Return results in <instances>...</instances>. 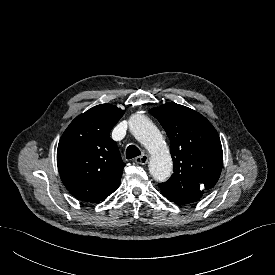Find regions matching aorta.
Segmentation results:
<instances>
[{"label": "aorta", "instance_id": "aorta-1", "mask_svg": "<svg viewBox=\"0 0 275 275\" xmlns=\"http://www.w3.org/2000/svg\"><path fill=\"white\" fill-rule=\"evenodd\" d=\"M129 129L150 153L149 169L152 177L159 182L166 181L171 176L173 163L158 128L145 115L134 114L129 120Z\"/></svg>", "mask_w": 275, "mask_h": 275}]
</instances>
